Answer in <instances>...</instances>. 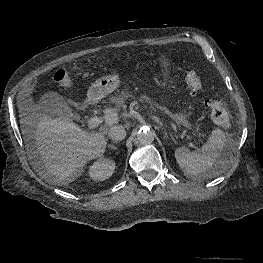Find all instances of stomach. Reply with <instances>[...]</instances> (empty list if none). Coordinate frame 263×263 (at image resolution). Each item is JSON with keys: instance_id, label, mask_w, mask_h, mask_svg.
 Here are the masks:
<instances>
[{"instance_id": "1", "label": "stomach", "mask_w": 263, "mask_h": 263, "mask_svg": "<svg viewBox=\"0 0 263 263\" xmlns=\"http://www.w3.org/2000/svg\"><path fill=\"white\" fill-rule=\"evenodd\" d=\"M161 62L165 68L169 65V59L163 56ZM120 84V78L117 73L107 75L104 77L99 78L91 85L88 90V100L90 101H97L101 98L105 97L107 94L113 92ZM168 113V111L166 110ZM176 121L183 124L184 126H189L187 117L184 114H175L172 116Z\"/></svg>"}]
</instances>
